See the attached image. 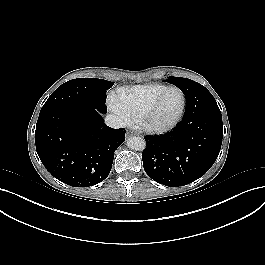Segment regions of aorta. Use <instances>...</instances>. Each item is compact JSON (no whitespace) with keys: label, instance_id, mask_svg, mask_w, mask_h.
Here are the masks:
<instances>
[{"label":"aorta","instance_id":"aorta-1","mask_svg":"<svg viewBox=\"0 0 265 265\" xmlns=\"http://www.w3.org/2000/svg\"><path fill=\"white\" fill-rule=\"evenodd\" d=\"M128 148L136 151H143L146 148V142L139 136L129 137L126 141Z\"/></svg>","mask_w":265,"mask_h":265}]
</instances>
